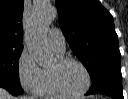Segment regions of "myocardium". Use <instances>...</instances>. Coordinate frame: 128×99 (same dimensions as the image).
Wrapping results in <instances>:
<instances>
[{"label":"myocardium","instance_id":"myocardium-1","mask_svg":"<svg viewBox=\"0 0 128 99\" xmlns=\"http://www.w3.org/2000/svg\"><path fill=\"white\" fill-rule=\"evenodd\" d=\"M68 63H76L82 68L86 77L85 86L80 91L75 93H70L65 91L59 84L58 77H57V70H53V69H49L50 81L53 89L59 96L66 97V98H78L80 96H83L89 90L92 83L91 74L88 68L86 67V65L82 61L73 57H60L56 61L57 69L63 67Z\"/></svg>","mask_w":128,"mask_h":99}]
</instances>
